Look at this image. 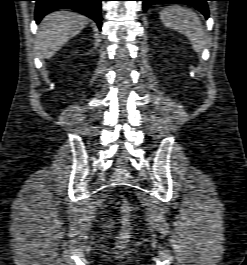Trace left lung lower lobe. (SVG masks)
Here are the masks:
<instances>
[{
    "label": "left lung lower lobe",
    "instance_id": "1",
    "mask_svg": "<svg viewBox=\"0 0 247 265\" xmlns=\"http://www.w3.org/2000/svg\"><path fill=\"white\" fill-rule=\"evenodd\" d=\"M143 1V10L154 4L182 3L198 9L206 18L209 17L207 1L212 0H140Z\"/></svg>",
    "mask_w": 247,
    "mask_h": 265
}]
</instances>
